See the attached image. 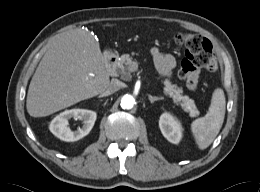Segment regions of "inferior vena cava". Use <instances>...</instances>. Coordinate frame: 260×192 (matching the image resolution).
<instances>
[{"instance_id":"602c4592","label":"inferior vena cava","mask_w":260,"mask_h":192,"mask_svg":"<svg viewBox=\"0 0 260 192\" xmlns=\"http://www.w3.org/2000/svg\"><path fill=\"white\" fill-rule=\"evenodd\" d=\"M123 86V83L118 80V79H112L111 82L109 83V86L107 87V89L102 92L103 95H110L113 94L115 92H117L118 90H120Z\"/></svg>"}]
</instances>
